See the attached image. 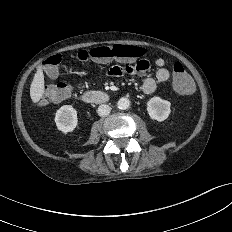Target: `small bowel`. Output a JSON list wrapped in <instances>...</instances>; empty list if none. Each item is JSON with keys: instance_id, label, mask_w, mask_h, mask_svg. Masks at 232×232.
Listing matches in <instances>:
<instances>
[{"instance_id": "small-bowel-1", "label": "small bowel", "mask_w": 232, "mask_h": 232, "mask_svg": "<svg viewBox=\"0 0 232 232\" xmlns=\"http://www.w3.org/2000/svg\"><path fill=\"white\" fill-rule=\"evenodd\" d=\"M155 64L158 67L155 77H146L142 83V92L146 95L152 94L157 87L158 82H166L170 78V72L165 67V60L163 58H157ZM150 67V62L147 59L140 60L134 66H112L108 68L106 74L111 77H119L124 74L143 75ZM52 77V79L56 78Z\"/></svg>"}]
</instances>
